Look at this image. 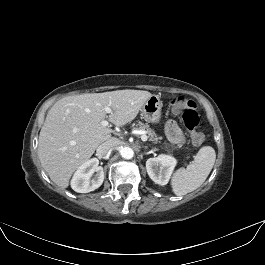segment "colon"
Wrapping results in <instances>:
<instances>
[{"instance_id": "1", "label": "colon", "mask_w": 265, "mask_h": 265, "mask_svg": "<svg viewBox=\"0 0 265 265\" xmlns=\"http://www.w3.org/2000/svg\"><path fill=\"white\" fill-rule=\"evenodd\" d=\"M169 104L174 111L181 114L182 120L190 133L192 142L197 146L202 145L206 140V136L198 131L200 118L195 102L178 96L172 98Z\"/></svg>"}]
</instances>
